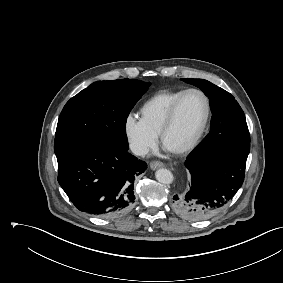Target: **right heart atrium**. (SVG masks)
Wrapping results in <instances>:
<instances>
[{"label": "right heart atrium", "instance_id": "right-heart-atrium-1", "mask_svg": "<svg viewBox=\"0 0 283 283\" xmlns=\"http://www.w3.org/2000/svg\"><path fill=\"white\" fill-rule=\"evenodd\" d=\"M124 133L130 149L139 156L145 155L157 141V135L145 126L141 118L133 114H129L125 118Z\"/></svg>", "mask_w": 283, "mask_h": 283}]
</instances>
